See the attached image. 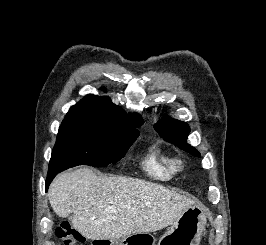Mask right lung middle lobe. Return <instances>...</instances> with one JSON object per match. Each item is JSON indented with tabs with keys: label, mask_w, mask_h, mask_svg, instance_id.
Here are the masks:
<instances>
[{
	"label": "right lung middle lobe",
	"mask_w": 266,
	"mask_h": 245,
	"mask_svg": "<svg viewBox=\"0 0 266 245\" xmlns=\"http://www.w3.org/2000/svg\"><path fill=\"white\" fill-rule=\"evenodd\" d=\"M139 126L91 116L65 117L48 172H61L83 164L104 167L119 161L138 137Z\"/></svg>",
	"instance_id": "right-lung-middle-lobe-1"
}]
</instances>
